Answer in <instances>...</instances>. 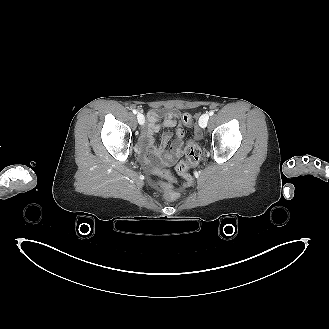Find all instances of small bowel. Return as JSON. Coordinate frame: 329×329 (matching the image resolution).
I'll list each match as a JSON object with an SVG mask.
<instances>
[{
	"label": "small bowel",
	"mask_w": 329,
	"mask_h": 329,
	"mask_svg": "<svg viewBox=\"0 0 329 329\" xmlns=\"http://www.w3.org/2000/svg\"><path fill=\"white\" fill-rule=\"evenodd\" d=\"M181 113L177 109L154 108L147 114V122L141 136V147L147 161L154 164L168 165L178 160L183 153L184 129L179 124ZM176 127L175 138L170 148L167 145L172 139L170 133H165L159 144L156 143L155 134L162 128Z\"/></svg>",
	"instance_id": "c3829d8e"
}]
</instances>
